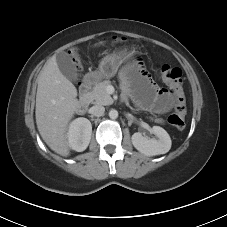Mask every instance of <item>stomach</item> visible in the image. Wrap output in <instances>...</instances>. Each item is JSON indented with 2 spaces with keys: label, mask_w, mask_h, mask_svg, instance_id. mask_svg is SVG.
<instances>
[{
  "label": "stomach",
  "mask_w": 227,
  "mask_h": 227,
  "mask_svg": "<svg viewBox=\"0 0 227 227\" xmlns=\"http://www.w3.org/2000/svg\"><path fill=\"white\" fill-rule=\"evenodd\" d=\"M135 52L134 49L124 48L107 54L102 58L98 69L87 74V80L96 83L102 79L114 77L116 74L114 67L121 64L123 59H128Z\"/></svg>",
  "instance_id": "0dacf381"
}]
</instances>
